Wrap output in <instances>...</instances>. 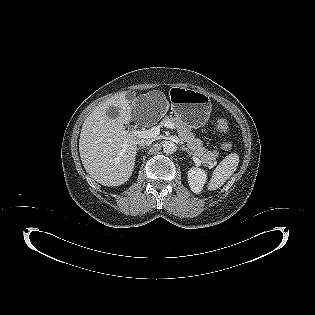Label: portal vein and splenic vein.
Wrapping results in <instances>:
<instances>
[{
	"label": "portal vein and splenic vein",
	"mask_w": 315,
	"mask_h": 315,
	"mask_svg": "<svg viewBox=\"0 0 315 315\" xmlns=\"http://www.w3.org/2000/svg\"><path fill=\"white\" fill-rule=\"evenodd\" d=\"M163 126L169 129H175V125L173 123L166 122V123H161V125L159 126H154L149 130H132L130 132L139 138H154L159 135L160 127H163ZM193 160L195 162H199V159L196 156L193 157Z\"/></svg>",
	"instance_id": "18ae733b"
}]
</instances>
